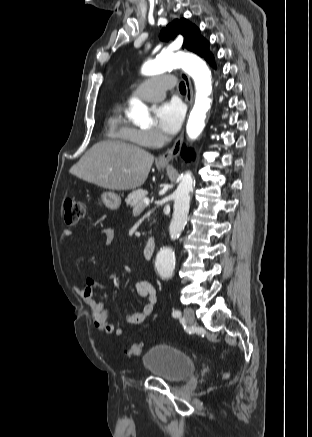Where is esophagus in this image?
Here are the masks:
<instances>
[{
	"instance_id": "34e87169",
	"label": "esophagus",
	"mask_w": 312,
	"mask_h": 437,
	"mask_svg": "<svg viewBox=\"0 0 312 437\" xmlns=\"http://www.w3.org/2000/svg\"><path fill=\"white\" fill-rule=\"evenodd\" d=\"M180 76L186 85V101H187L188 105L191 106L193 103V88H192V83H191L190 77L183 72H181ZM182 141H183V130H182L180 136L175 141L172 148L168 149L165 153H163L162 155H160L158 157L157 163L161 164V165H165V164H168L175 157H177L181 151Z\"/></svg>"
}]
</instances>
